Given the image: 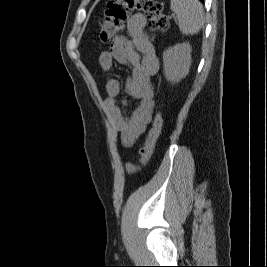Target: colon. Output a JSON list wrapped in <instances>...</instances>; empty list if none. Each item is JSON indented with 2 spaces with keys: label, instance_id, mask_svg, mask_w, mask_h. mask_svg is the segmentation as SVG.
I'll use <instances>...</instances> for the list:
<instances>
[{
  "label": "colon",
  "instance_id": "1",
  "mask_svg": "<svg viewBox=\"0 0 267 267\" xmlns=\"http://www.w3.org/2000/svg\"><path fill=\"white\" fill-rule=\"evenodd\" d=\"M135 10L141 11L146 16L151 31H165L168 28L169 20L163 13V4L161 2L156 0H109L101 20L100 41L106 43L120 32L124 28L130 14ZM162 124V115L158 111L154 116L145 143L139 150L140 163L139 165L127 163L126 170L128 173H137L142 167L147 165L161 133Z\"/></svg>",
  "mask_w": 267,
  "mask_h": 267
}]
</instances>
